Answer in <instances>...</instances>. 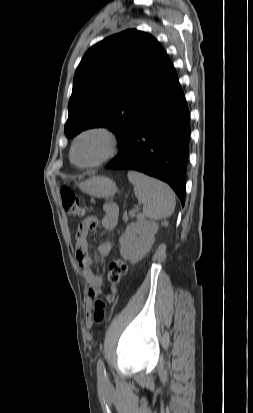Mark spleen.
<instances>
[{"mask_svg":"<svg viewBox=\"0 0 253 413\" xmlns=\"http://www.w3.org/2000/svg\"><path fill=\"white\" fill-rule=\"evenodd\" d=\"M128 179L133 184L138 201L143 204L146 217L157 221L173 214L176 200L167 184L136 171H129Z\"/></svg>","mask_w":253,"mask_h":413,"instance_id":"spleen-1","label":"spleen"}]
</instances>
